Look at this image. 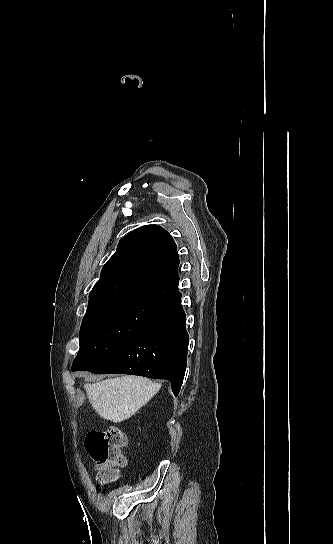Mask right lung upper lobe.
Returning <instances> with one entry per match:
<instances>
[{
    "mask_svg": "<svg viewBox=\"0 0 333 544\" xmlns=\"http://www.w3.org/2000/svg\"><path fill=\"white\" fill-rule=\"evenodd\" d=\"M178 265L171 235L158 225L142 226L120 240L91 290L89 302L147 297L172 303L181 298Z\"/></svg>",
    "mask_w": 333,
    "mask_h": 544,
    "instance_id": "1",
    "label": "right lung upper lobe"
}]
</instances>
